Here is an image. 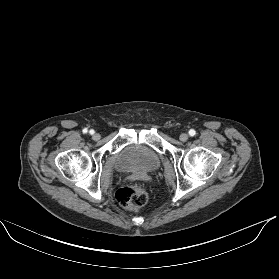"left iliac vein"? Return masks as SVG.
<instances>
[{
	"instance_id": "4c4485c4",
	"label": "left iliac vein",
	"mask_w": 279,
	"mask_h": 279,
	"mask_svg": "<svg viewBox=\"0 0 279 279\" xmlns=\"http://www.w3.org/2000/svg\"><path fill=\"white\" fill-rule=\"evenodd\" d=\"M188 134L186 133H182L179 137V139L182 141V142H186L188 140Z\"/></svg>"
}]
</instances>
